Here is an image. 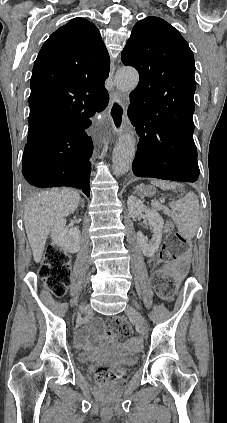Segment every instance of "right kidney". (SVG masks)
Here are the masks:
<instances>
[{
	"mask_svg": "<svg viewBox=\"0 0 227 423\" xmlns=\"http://www.w3.org/2000/svg\"><path fill=\"white\" fill-rule=\"evenodd\" d=\"M51 239H53L55 245H58L64 251L77 253L80 247V229L79 227H66V219L61 217L51 231Z\"/></svg>",
	"mask_w": 227,
	"mask_h": 423,
	"instance_id": "1",
	"label": "right kidney"
}]
</instances>
